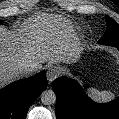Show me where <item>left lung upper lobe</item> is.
I'll return each instance as SVG.
<instances>
[{"label":"left lung upper lobe","instance_id":"5c2ea615","mask_svg":"<svg viewBox=\"0 0 119 119\" xmlns=\"http://www.w3.org/2000/svg\"><path fill=\"white\" fill-rule=\"evenodd\" d=\"M107 29L104 36L100 39L101 44L115 45L119 43V25L109 16H106Z\"/></svg>","mask_w":119,"mask_h":119}]
</instances>
